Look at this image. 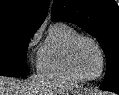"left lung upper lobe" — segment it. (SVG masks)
<instances>
[{"label":"left lung upper lobe","mask_w":119,"mask_h":95,"mask_svg":"<svg viewBox=\"0 0 119 95\" xmlns=\"http://www.w3.org/2000/svg\"><path fill=\"white\" fill-rule=\"evenodd\" d=\"M51 18L67 21L94 36L106 55L107 69L100 88L119 89V7L114 0H54Z\"/></svg>","instance_id":"5c2ea615"}]
</instances>
